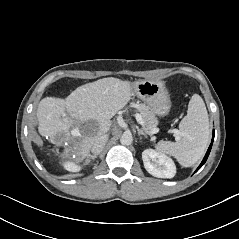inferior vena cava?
I'll return each mask as SVG.
<instances>
[{"label":"inferior vena cava","mask_w":239,"mask_h":239,"mask_svg":"<svg viewBox=\"0 0 239 239\" xmlns=\"http://www.w3.org/2000/svg\"><path fill=\"white\" fill-rule=\"evenodd\" d=\"M108 141V135L102 134L96 138L95 148L100 152Z\"/></svg>","instance_id":"inferior-vena-cava-1"}]
</instances>
